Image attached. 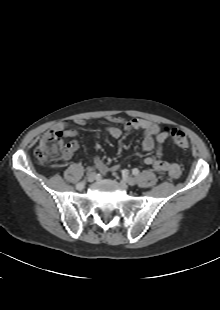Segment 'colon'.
<instances>
[{
  "label": "colon",
  "instance_id": "5ec220e1",
  "mask_svg": "<svg viewBox=\"0 0 220 310\" xmlns=\"http://www.w3.org/2000/svg\"><path fill=\"white\" fill-rule=\"evenodd\" d=\"M173 142L181 149L189 148V141L183 130L173 128L166 130ZM68 147L63 132L57 129L47 131L35 150V158L39 163H53L65 157Z\"/></svg>",
  "mask_w": 220,
  "mask_h": 310
}]
</instances>
